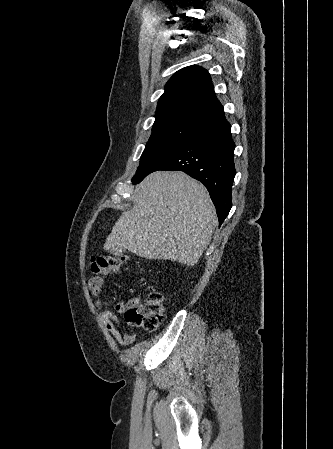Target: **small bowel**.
I'll use <instances>...</instances> for the list:
<instances>
[{
  "label": "small bowel",
  "mask_w": 333,
  "mask_h": 449,
  "mask_svg": "<svg viewBox=\"0 0 333 449\" xmlns=\"http://www.w3.org/2000/svg\"><path fill=\"white\" fill-rule=\"evenodd\" d=\"M103 283L104 279L100 274L91 277L88 282L91 295L95 301L96 306L100 310L98 313V317L118 344L122 346L130 345L136 341L137 334L135 332H121L116 317L111 312L103 309L101 298ZM137 300L138 299L133 298L128 301H121L116 305V310L120 313H123L132 302H135Z\"/></svg>",
  "instance_id": "1"
}]
</instances>
